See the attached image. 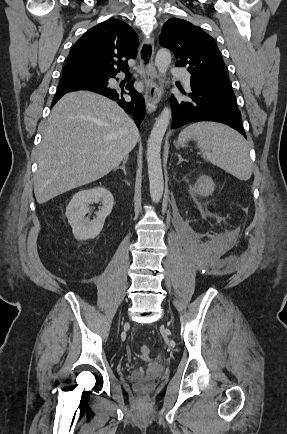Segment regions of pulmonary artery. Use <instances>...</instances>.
Returning <instances> with one entry per match:
<instances>
[{"mask_svg": "<svg viewBox=\"0 0 287 434\" xmlns=\"http://www.w3.org/2000/svg\"><path fill=\"white\" fill-rule=\"evenodd\" d=\"M172 76L180 77L187 88H190L191 79L190 75L182 68L172 67L170 70Z\"/></svg>", "mask_w": 287, "mask_h": 434, "instance_id": "e3ab8cb5", "label": "pulmonary artery"}]
</instances>
